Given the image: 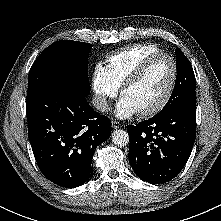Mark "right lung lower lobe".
I'll list each match as a JSON object with an SVG mask.
<instances>
[{
	"instance_id": "right-lung-lower-lobe-1",
	"label": "right lung lower lobe",
	"mask_w": 221,
	"mask_h": 221,
	"mask_svg": "<svg viewBox=\"0 0 221 221\" xmlns=\"http://www.w3.org/2000/svg\"><path fill=\"white\" fill-rule=\"evenodd\" d=\"M26 114L43 175L62 187L84 184L93 172L94 150L110 137V119L94 111L84 95L65 87L48 88L26 100Z\"/></svg>"
}]
</instances>
